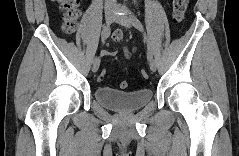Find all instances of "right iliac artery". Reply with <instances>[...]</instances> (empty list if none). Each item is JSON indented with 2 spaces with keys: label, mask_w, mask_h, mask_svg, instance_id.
Masks as SVG:
<instances>
[{
  "label": "right iliac artery",
  "mask_w": 239,
  "mask_h": 156,
  "mask_svg": "<svg viewBox=\"0 0 239 156\" xmlns=\"http://www.w3.org/2000/svg\"><path fill=\"white\" fill-rule=\"evenodd\" d=\"M110 35V26H105L101 33V40L104 42ZM99 59L97 56L94 57L93 62Z\"/></svg>",
  "instance_id": "1"
}]
</instances>
